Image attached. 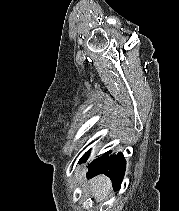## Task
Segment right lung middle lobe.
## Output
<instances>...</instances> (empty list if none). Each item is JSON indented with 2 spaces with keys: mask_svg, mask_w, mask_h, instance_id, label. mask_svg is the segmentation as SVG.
I'll list each match as a JSON object with an SVG mask.
<instances>
[{
  "mask_svg": "<svg viewBox=\"0 0 179 211\" xmlns=\"http://www.w3.org/2000/svg\"><path fill=\"white\" fill-rule=\"evenodd\" d=\"M88 156H89V152L85 153L84 156L80 159V161L87 158Z\"/></svg>",
  "mask_w": 179,
  "mask_h": 211,
  "instance_id": "1",
  "label": "right lung middle lobe"
}]
</instances>
